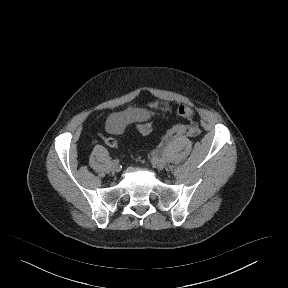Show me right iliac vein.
I'll return each mask as SVG.
<instances>
[{
  "label": "right iliac vein",
  "mask_w": 288,
  "mask_h": 288,
  "mask_svg": "<svg viewBox=\"0 0 288 288\" xmlns=\"http://www.w3.org/2000/svg\"><path fill=\"white\" fill-rule=\"evenodd\" d=\"M111 167H112V170L115 172H118L120 170V166L116 162H112Z\"/></svg>",
  "instance_id": "obj_1"
}]
</instances>
